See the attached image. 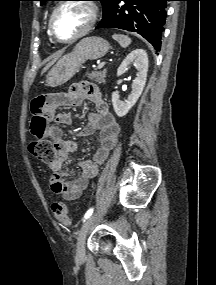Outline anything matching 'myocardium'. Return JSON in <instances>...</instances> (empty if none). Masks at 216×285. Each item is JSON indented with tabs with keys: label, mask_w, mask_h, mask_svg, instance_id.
<instances>
[{
	"label": "myocardium",
	"mask_w": 216,
	"mask_h": 285,
	"mask_svg": "<svg viewBox=\"0 0 216 285\" xmlns=\"http://www.w3.org/2000/svg\"><path fill=\"white\" fill-rule=\"evenodd\" d=\"M69 4H81L86 6L89 11H90V19L88 24L76 35H74L71 38L68 39H61L59 37H57V35L54 32V28H53V22H54V18L57 14V12L64 6L69 5ZM98 7L97 5L90 1V0H65L61 3H59L54 10L52 11L50 17H49V21H48V32L49 35L51 36V38L59 43H63V44H68V43H72L75 42L79 39H81L82 37L86 36L95 26L97 20H98Z\"/></svg>",
	"instance_id": "obj_1"
}]
</instances>
